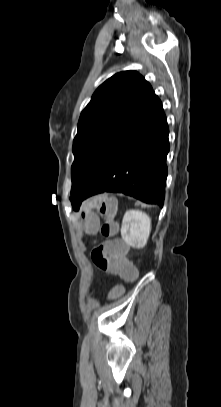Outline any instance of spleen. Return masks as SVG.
<instances>
[{"label":"spleen","mask_w":221,"mask_h":407,"mask_svg":"<svg viewBox=\"0 0 221 407\" xmlns=\"http://www.w3.org/2000/svg\"><path fill=\"white\" fill-rule=\"evenodd\" d=\"M151 232V218L140 210L126 211L122 220V239L133 248L147 244Z\"/></svg>","instance_id":"3e777b00"}]
</instances>
